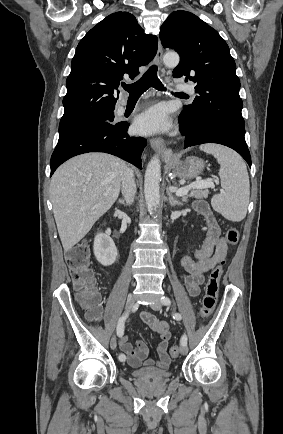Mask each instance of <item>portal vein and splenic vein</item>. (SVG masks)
<instances>
[{"instance_id": "portal-vein-and-splenic-vein-1", "label": "portal vein and splenic vein", "mask_w": 283, "mask_h": 434, "mask_svg": "<svg viewBox=\"0 0 283 434\" xmlns=\"http://www.w3.org/2000/svg\"><path fill=\"white\" fill-rule=\"evenodd\" d=\"M191 187H194V188H209V187H214V183L211 180H209V179L208 180H199V181L193 182L189 186L177 189L176 190V195L180 196V197L186 195Z\"/></svg>"}]
</instances>
